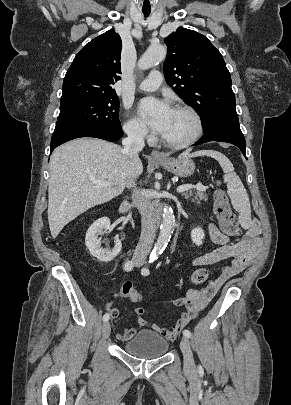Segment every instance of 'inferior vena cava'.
<instances>
[{"mask_svg": "<svg viewBox=\"0 0 291 405\" xmlns=\"http://www.w3.org/2000/svg\"><path fill=\"white\" fill-rule=\"evenodd\" d=\"M126 133L127 137L122 141V145L124 146L122 152L131 160L143 149L145 145L144 134L139 128H130ZM135 179L136 178L129 179L127 187L134 188L133 202L141 214L142 231L133 255V260L144 262L154 242L156 216L150 198L144 191L137 190Z\"/></svg>", "mask_w": 291, "mask_h": 405, "instance_id": "obj_1", "label": "inferior vena cava"}]
</instances>
